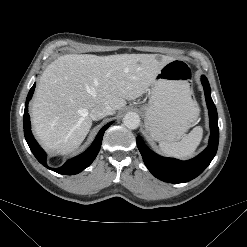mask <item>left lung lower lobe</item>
Returning a JSON list of instances; mask_svg holds the SVG:
<instances>
[{"label":"left lung lower lobe","mask_w":247,"mask_h":247,"mask_svg":"<svg viewBox=\"0 0 247 247\" xmlns=\"http://www.w3.org/2000/svg\"><path fill=\"white\" fill-rule=\"evenodd\" d=\"M204 86L207 107L209 109L211 135L209 146L198 156L187 161L164 158L152 152L137 137V146L148 170L158 179L169 183H185L200 175L216 155L219 142L218 115L211 98V89L205 76L201 78Z\"/></svg>","instance_id":"0a47b994"}]
</instances>
